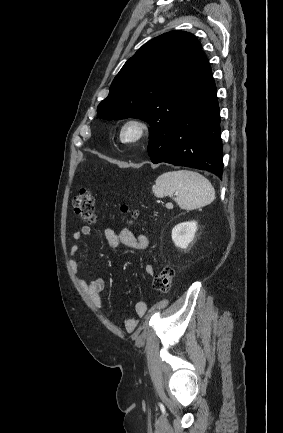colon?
Masks as SVG:
<instances>
[{
  "mask_svg": "<svg viewBox=\"0 0 283 433\" xmlns=\"http://www.w3.org/2000/svg\"><path fill=\"white\" fill-rule=\"evenodd\" d=\"M73 210L85 222L93 223L95 216V201L90 190L82 189L73 200ZM121 212L129 219L130 222L137 219L138 213L132 210L128 205L123 204L120 207ZM174 270L167 266L164 267L154 278L153 287L155 290L166 293L173 282Z\"/></svg>",
  "mask_w": 283,
  "mask_h": 433,
  "instance_id": "obj_1",
  "label": "colon"
}]
</instances>
